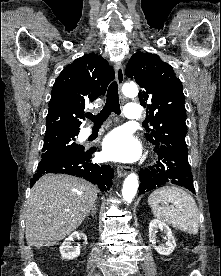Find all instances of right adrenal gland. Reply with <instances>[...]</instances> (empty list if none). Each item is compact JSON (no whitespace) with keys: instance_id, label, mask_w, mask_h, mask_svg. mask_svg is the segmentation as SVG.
Instances as JSON below:
<instances>
[{"instance_id":"obj_1","label":"right adrenal gland","mask_w":221,"mask_h":276,"mask_svg":"<svg viewBox=\"0 0 221 276\" xmlns=\"http://www.w3.org/2000/svg\"><path fill=\"white\" fill-rule=\"evenodd\" d=\"M96 210H97L96 204H94L91 211L87 214V216H90V215L94 216L96 214Z\"/></svg>"}]
</instances>
